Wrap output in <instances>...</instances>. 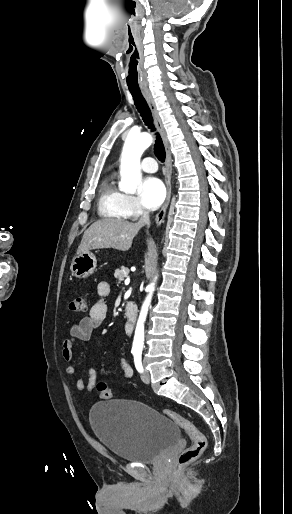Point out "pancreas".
Instances as JSON below:
<instances>
[{"mask_svg":"<svg viewBox=\"0 0 292 514\" xmlns=\"http://www.w3.org/2000/svg\"><path fill=\"white\" fill-rule=\"evenodd\" d=\"M116 280H118V284L124 280V278H128L129 276V270L128 268H124V266H121L120 270H115L114 274Z\"/></svg>","mask_w":292,"mask_h":514,"instance_id":"pancreas-1","label":"pancreas"}]
</instances>
